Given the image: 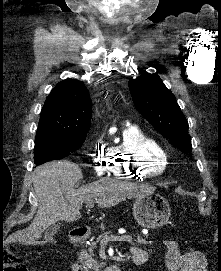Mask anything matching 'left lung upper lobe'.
<instances>
[{"label":"left lung upper lobe","mask_w":221,"mask_h":271,"mask_svg":"<svg viewBox=\"0 0 221 271\" xmlns=\"http://www.w3.org/2000/svg\"><path fill=\"white\" fill-rule=\"evenodd\" d=\"M129 89L137 110L164 137L184 153L192 151L188 121L173 93L157 74L143 73L129 80Z\"/></svg>","instance_id":"obj_1"}]
</instances>
